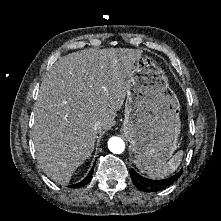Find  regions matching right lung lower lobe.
I'll use <instances>...</instances> for the list:
<instances>
[{
	"label": "right lung lower lobe",
	"mask_w": 221,
	"mask_h": 221,
	"mask_svg": "<svg viewBox=\"0 0 221 221\" xmlns=\"http://www.w3.org/2000/svg\"><path fill=\"white\" fill-rule=\"evenodd\" d=\"M92 174H93V169L90 171V173L88 174V176L84 180H82L81 182H79L75 185H72L71 187L77 188V187H82V186L88 184L92 179Z\"/></svg>",
	"instance_id": "right-lung-lower-lobe-1"
}]
</instances>
